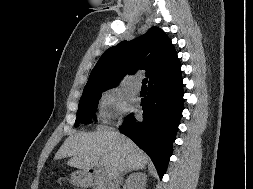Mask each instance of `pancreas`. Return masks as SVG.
Returning <instances> with one entry per match:
<instances>
[{
  "label": "pancreas",
  "mask_w": 253,
  "mask_h": 189,
  "mask_svg": "<svg viewBox=\"0 0 253 189\" xmlns=\"http://www.w3.org/2000/svg\"><path fill=\"white\" fill-rule=\"evenodd\" d=\"M94 189H102V186L98 185L96 188Z\"/></svg>",
  "instance_id": "1"
}]
</instances>
